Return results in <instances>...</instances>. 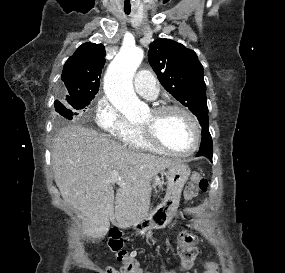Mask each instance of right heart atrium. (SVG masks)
<instances>
[{
  "instance_id": "obj_1",
  "label": "right heart atrium",
  "mask_w": 285,
  "mask_h": 273,
  "mask_svg": "<svg viewBox=\"0 0 285 273\" xmlns=\"http://www.w3.org/2000/svg\"><path fill=\"white\" fill-rule=\"evenodd\" d=\"M95 122L101 131L115 138H121L134 128V125L105 98L100 99L96 105Z\"/></svg>"
}]
</instances>
